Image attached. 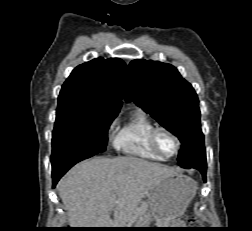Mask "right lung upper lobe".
Segmentation results:
<instances>
[{
	"instance_id": "cb5924a9",
	"label": "right lung upper lobe",
	"mask_w": 252,
	"mask_h": 231,
	"mask_svg": "<svg viewBox=\"0 0 252 231\" xmlns=\"http://www.w3.org/2000/svg\"><path fill=\"white\" fill-rule=\"evenodd\" d=\"M125 63L95 58L76 67L62 86L58 107L74 106L118 113L122 106Z\"/></svg>"
}]
</instances>
